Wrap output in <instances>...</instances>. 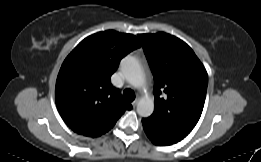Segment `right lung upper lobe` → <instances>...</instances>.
Returning <instances> with one entry per match:
<instances>
[{
    "mask_svg": "<svg viewBox=\"0 0 261 162\" xmlns=\"http://www.w3.org/2000/svg\"><path fill=\"white\" fill-rule=\"evenodd\" d=\"M140 46L134 35L109 30L85 38L67 56L57 77L55 100L74 132L98 137L132 109L110 77L120 60Z\"/></svg>",
    "mask_w": 261,
    "mask_h": 162,
    "instance_id": "1",
    "label": "right lung upper lobe"
}]
</instances>
